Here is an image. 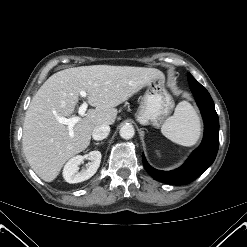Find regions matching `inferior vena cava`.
<instances>
[{
    "instance_id": "inferior-vena-cava-1",
    "label": "inferior vena cava",
    "mask_w": 247,
    "mask_h": 247,
    "mask_svg": "<svg viewBox=\"0 0 247 247\" xmlns=\"http://www.w3.org/2000/svg\"><path fill=\"white\" fill-rule=\"evenodd\" d=\"M109 132H110L109 125L102 124V125L96 126L93 129L92 137L94 140H97V141L103 140L109 135Z\"/></svg>"
}]
</instances>
